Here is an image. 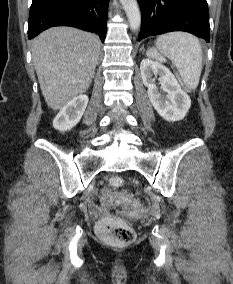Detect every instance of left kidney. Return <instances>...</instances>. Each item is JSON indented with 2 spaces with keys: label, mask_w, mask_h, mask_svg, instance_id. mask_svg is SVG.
Listing matches in <instances>:
<instances>
[{
  "label": "left kidney",
  "mask_w": 233,
  "mask_h": 284,
  "mask_svg": "<svg viewBox=\"0 0 233 284\" xmlns=\"http://www.w3.org/2000/svg\"><path fill=\"white\" fill-rule=\"evenodd\" d=\"M140 71L143 83L148 88L150 102L157 113L169 122L182 120L190 109L191 99L181 89L171 71L163 64L151 59L141 61ZM153 75L159 76L160 90L154 83Z\"/></svg>",
  "instance_id": "5707ae66"
}]
</instances>
